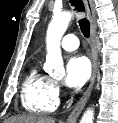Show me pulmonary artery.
<instances>
[{
  "instance_id": "obj_1",
  "label": "pulmonary artery",
  "mask_w": 118,
  "mask_h": 123,
  "mask_svg": "<svg viewBox=\"0 0 118 123\" xmlns=\"http://www.w3.org/2000/svg\"><path fill=\"white\" fill-rule=\"evenodd\" d=\"M79 46V40L74 34L65 35L61 41V47L66 51H74Z\"/></svg>"
}]
</instances>
